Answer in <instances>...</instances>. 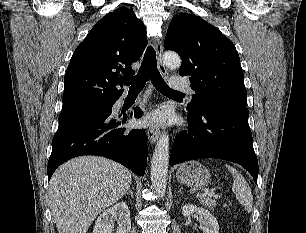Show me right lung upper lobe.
Segmentation results:
<instances>
[{
  "label": "right lung upper lobe",
  "instance_id": "right-lung-upper-lobe-1",
  "mask_svg": "<svg viewBox=\"0 0 306 233\" xmlns=\"http://www.w3.org/2000/svg\"><path fill=\"white\" fill-rule=\"evenodd\" d=\"M146 44V28L133 11L121 7L105 15L71 58L63 105L115 102L123 93L117 89L118 76L135 73L131 64L140 58Z\"/></svg>",
  "mask_w": 306,
  "mask_h": 233
}]
</instances>
